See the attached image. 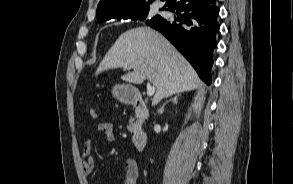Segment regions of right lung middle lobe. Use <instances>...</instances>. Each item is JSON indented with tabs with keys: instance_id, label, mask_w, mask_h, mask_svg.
Segmentation results:
<instances>
[{
	"instance_id": "dd1d6c3e",
	"label": "right lung middle lobe",
	"mask_w": 293,
	"mask_h": 184,
	"mask_svg": "<svg viewBox=\"0 0 293 184\" xmlns=\"http://www.w3.org/2000/svg\"><path fill=\"white\" fill-rule=\"evenodd\" d=\"M148 12L149 11H143V12H139L135 15H133L132 17L130 18H127V19H132V20H137V19H145L148 15ZM158 19H161L160 16H155L154 18H152L151 20H149L148 22L150 21H154V20H158Z\"/></svg>"
}]
</instances>
